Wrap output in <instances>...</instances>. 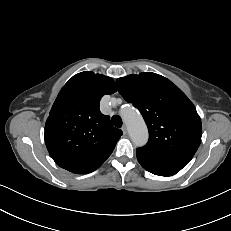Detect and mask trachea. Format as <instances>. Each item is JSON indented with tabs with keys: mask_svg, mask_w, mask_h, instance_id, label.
Here are the masks:
<instances>
[{
	"mask_svg": "<svg viewBox=\"0 0 231 231\" xmlns=\"http://www.w3.org/2000/svg\"><path fill=\"white\" fill-rule=\"evenodd\" d=\"M112 123H113L114 126L117 127V128H121V127H122V124H123L121 117L118 116V115H114V116L112 117Z\"/></svg>",
	"mask_w": 231,
	"mask_h": 231,
	"instance_id": "1",
	"label": "trachea"
}]
</instances>
